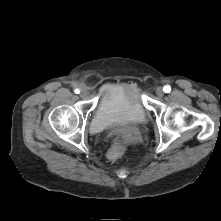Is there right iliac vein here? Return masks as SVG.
Masks as SVG:
<instances>
[{
    "label": "right iliac vein",
    "mask_w": 221,
    "mask_h": 221,
    "mask_svg": "<svg viewBox=\"0 0 221 221\" xmlns=\"http://www.w3.org/2000/svg\"><path fill=\"white\" fill-rule=\"evenodd\" d=\"M87 95H88V92L85 89H82L80 91V97L85 98V97H87Z\"/></svg>",
    "instance_id": "obj_1"
}]
</instances>
